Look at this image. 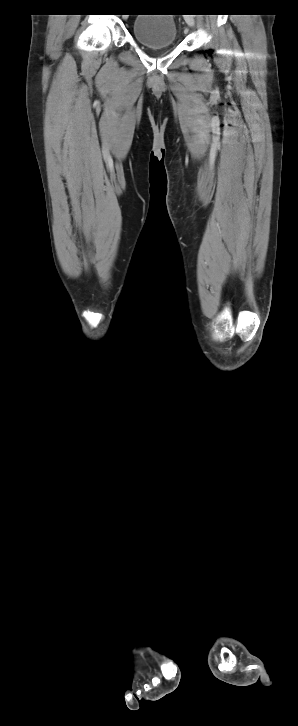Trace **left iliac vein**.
<instances>
[{
    "label": "left iliac vein",
    "instance_id": "4c4485c4",
    "mask_svg": "<svg viewBox=\"0 0 298 726\" xmlns=\"http://www.w3.org/2000/svg\"><path fill=\"white\" fill-rule=\"evenodd\" d=\"M185 20H186V23H187V25H188V26H190V27H193V26H194V24H195V21H194V18H193V16H191V15H189V16H186V17H185ZM187 32H188V31H187V30H185V33H187Z\"/></svg>",
    "mask_w": 298,
    "mask_h": 726
}]
</instances>
